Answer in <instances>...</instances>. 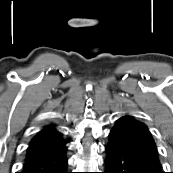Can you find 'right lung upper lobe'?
Returning a JSON list of instances; mask_svg holds the SVG:
<instances>
[{
	"instance_id": "right-lung-upper-lobe-1",
	"label": "right lung upper lobe",
	"mask_w": 173,
	"mask_h": 173,
	"mask_svg": "<svg viewBox=\"0 0 173 173\" xmlns=\"http://www.w3.org/2000/svg\"><path fill=\"white\" fill-rule=\"evenodd\" d=\"M64 144L61 133L53 125L44 127L31 140L27 153L53 148Z\"/></svg>"
}]
</instances>
